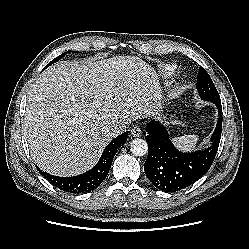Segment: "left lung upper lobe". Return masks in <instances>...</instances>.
<instances>
[{"label": "left lung upper lobe", "mask_w": 249, "mask_h": 249, "mask_svg": "<svg viewBox=\"0 0 249 249\" xmlns=\"http://www.w3.org/2000/svg\"><path fill=\"white\" fill-rule=\"evenodd\" d=\"M197 90L203 100L221 103L220 96L207 71L200 66L197 76Z\"/></svg>", "instance_id": "1"}]
</instances>
